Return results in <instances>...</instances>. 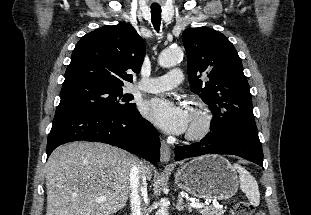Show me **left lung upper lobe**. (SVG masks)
Instances as JSON below:
<instances>
[{
	"label": "left lung upper lobe",
	"instance_id": "obj_1",
	"mask_svg": "<svg viewBox=\"0 0 311 215\" xmlns=\"http://www.w3.org/2000/svg\"><path fill=\"white\" fill-rule=\"evenodd\" d=\"M187 52L188 80L213 114L211 129L237 121H253L252 97L240 57L222 33L207 27L182 34Z\"/></svg>",
	"mask_w": 311,
	"mask_h": 215
}]
</instances>
